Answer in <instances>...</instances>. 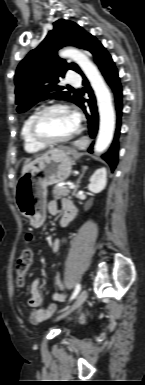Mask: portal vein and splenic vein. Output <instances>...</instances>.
Segmentation results:
<instances>
[{
    "instance_id": "1",
    "label": "portal vein and splenic vein",
    "mask_w": 145,
    "mask_h": 385,
    "mask_svg": "<svg viewBox=\"0 0 145 385\" xmlns=\"http://www.w3.org/2000/svg\"><path fill=\"white\" fill-rule=\"evenodd\" d=\"M75 188V185L74 184H70L69 185V189H74Z\"/></svg>"
}]
</instances>
